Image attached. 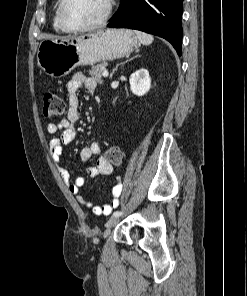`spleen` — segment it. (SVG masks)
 <instances>
[{"instance_id":"spleen-1","label":"spleen","mask_w":247,"mask_h":296,"mask_svg":"<svg viewBox=\"0 0 247 296\" xmlns=\"http://www.w3.org/2000/svg\"><path fill=\"white\" fill-rule=\"evenodd\" d=\"M134 33L136 34L138 40L145 46L150 45L154 38L152 35L141 32V31H134Z\"/></svg>"}]
</instances>
